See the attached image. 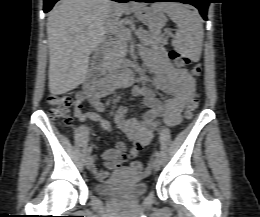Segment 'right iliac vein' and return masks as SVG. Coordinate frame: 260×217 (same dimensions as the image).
Listing matches in <instances>:
<instances>
[{
    "label": "right iliac vein",
    "instance_id": "63e3f726",
    "mask_svg": "<svg viewBox=\"0 0 260 217\" xmlns=\"http://www.w3.org/2000/svg\"><path fill=\"white\" fill-rule=\"evenodd\" d=\"M85 165H86V168H87L88 170H91V169H92V167H93V158H92V156H88V157L86 158Z\"/></svg>",
    "mask_w": 260,
    "mask_h": 217
}]
</instances>
